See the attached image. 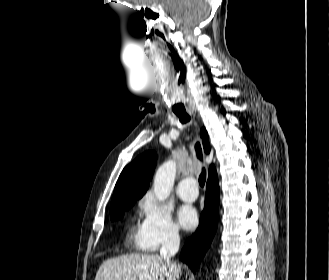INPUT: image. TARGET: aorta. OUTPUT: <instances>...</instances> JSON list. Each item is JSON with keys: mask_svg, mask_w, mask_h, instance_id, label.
I'll use <instances>...</instances> for the list:
<instances>
[{"mask_svg": "<svg viewBox=\"0 0 329 280\" xmlns=\"http://www.w3.org/2000/svg\"><path fill=\"white\" fill-rule=\"evenodd\" d=\"M175 176L176 163L172 160L163 163L158 168L153 183V190L156 199L159 201H165L168 199L174 185Z\"/></svg>", "mask_w": 329, "mask_h": 280, "instance_id": "aorta-1", "label": "aorta"}]
</instances>
